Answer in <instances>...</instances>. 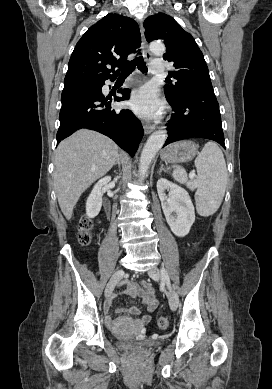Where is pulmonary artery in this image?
<instances>
[{"label": "pulmonary artery", "mask_w": 272, "mask_h": 389, "mask_svg": "<svg viewBox=\"0 0 272 389\" xmlns=\"http://www.w3.org/2000/svg\"><path fill=\"white\" fill-rule=\"evenodd\" d=\"M165 62L162 59H154L150 63V72L153 74L165 73Z\"/></svg>", "instance_id": "pulmonary-artery-1"}]
</instances>
